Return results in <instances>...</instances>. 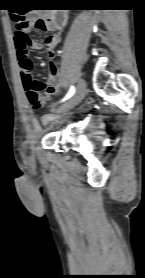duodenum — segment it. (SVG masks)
Returning a JSON list of instances; mask_svg holds the SVG:
<instances>
[{"instance_id":"duodenum-1","label":"duodenum","mask_w":145,"mask_h":278,"mask_svg":"<svg viewBox=\"0 0 145 278\" xmlns=\"http://www.w3.org/2000/svg\"><path fill=\"white\" fill-rule=\"evenodd\" d=\"M68 23V14L64 10L54 11L49 16V24L55 29H62Z\"/></svg>"}]
</instances>
